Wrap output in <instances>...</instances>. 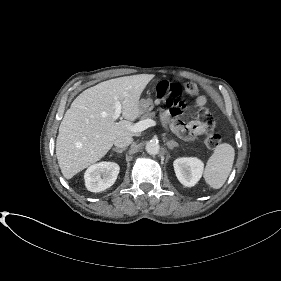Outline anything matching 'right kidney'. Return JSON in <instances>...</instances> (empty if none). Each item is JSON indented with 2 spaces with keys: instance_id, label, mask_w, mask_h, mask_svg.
Instances as JSON below:
<instances>
[{
  "instance_id": "obj_1",
  "label": "right kidney",
  "mask_w": 281,
  "mask_h": 281,
  "mask_svg": "<svg viewBox=\"0 0 281 281\" xmlns=\"http://www.w3.org/2000/svg\"><path fill=\"white\" fill-rule=\"evenodd\" d=\"M120 167L114 162H99L85 172L86 188L91 192H101L111 187L119 174Z\"/></svg>"
}]
</instances>
